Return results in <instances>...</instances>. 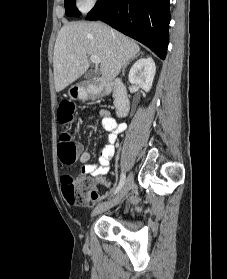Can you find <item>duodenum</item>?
Instances as JSON below:
<instances>
[{
  "label": "duodenum",
  "instance_id": "1",
  "mask_svg": "<svg viewBox=\"0 0 227 279\" xmlns=\"http://www.w3.org/2000/svg\"><path fill=\"white\" fill-rule=\"evenodd\" d=\"M110 92L114 94L115 107L120 116H126L130 109V100L126 86L122 82L106 83L101 78H95L92 87L83 93V102L95 100L107 96Z\"/></svg>",
  "mask_w": 227,
  "mask_h": 279
}]
</instances>
